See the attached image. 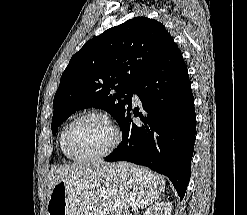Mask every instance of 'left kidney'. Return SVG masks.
<instances>
[{
  "mask_svg": "<svg viewBox=\"0 0 247 215\" xmlns=\"http://www.w3.org/2000/svg\"><path fill=\"white\" fill-rule=\"evenodd\" d=\"M171 212L172 204L170 202H160L150 206L144 215H171Z\"/></svg>",
  "mask_w": 247,
  "mask_h": 215,
  "instance_id": "left-kidney-1",
  "label": "left kidney"
}]
</instances>
